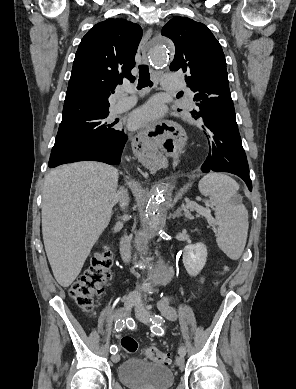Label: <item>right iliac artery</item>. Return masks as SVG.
I'll list each match as a JSON object with an SVG mask.
<instances>
[{
	"mask_svg": "<svg viewBox=\"0 0 296 389\" xmlns=\"http://www.w3.org/2000/svg\"><path fill=\"white\" fill-rule=\"evenodd\" d=\"M120 312L122 313V310H120ZM124 326H125V325H124V319H122V318L118 319V320L116 321V323H115V329H116V331H121V330L123 329ZM117 350H118V349H117V347H116L115 345H112L111 348H110L111 354L117 353Z\"/></svg>",
	"mask_w": 296,
	"mask_h": 389,
	"instance_id": "1",
	"label": "right iliac artery"
}]
</instances>
